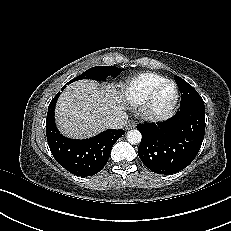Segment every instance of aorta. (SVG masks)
Instances as JSON below:
<instances>
[{"label": "aorta", "instance_id": "1", "mask_svg": "<svg viewBox=\"0 0 231 231\" xmlns=\"http://www.w3.org/2000/svg\"><path fill=\"white\" fill-rule=\"evenodd\" d=\"M127 140L130 144H138L142 140V135L139 130L133 129L128 131L127 133Z\"/></svg>", "mask_w": 231, "mask_h": 231}]
</instances>
